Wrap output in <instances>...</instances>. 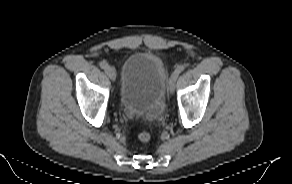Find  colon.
I'll use <instances>...</instances> for the list:
<instances>
[{
    "label": "colon",
    "mask_w": 292,
    "mask_h": 184,
    "mask_svg": "<svg viewBox=\"0 0 292 184\" xmlns=\"http://www.w3.org/2000/svg\"><path fill=\"white\" fill-rule=\"evenodd\" d=\"M138 139L140 142L142 143H147L151 140V134L149 131L147 130H142L139 134H138Z\"/></svg>",
    "instance_id": "colon-1"
}]
</instances>
